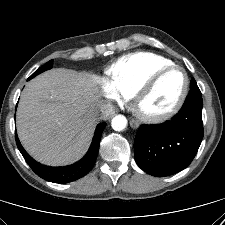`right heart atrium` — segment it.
Returning <instances> with one entry per match:
<instances>
[{
  "instance_id": "obj_1",
  "label": "right heart atrium",
  "mask_w": 225,
  "mask_h": 225,
  "mask_svg": "<svg viewBox=\"0 0 225 225\" xmlns=\"http://www.w3.org/2000/svg\"><path fill=\"white\" fill-rule=\"evenodd\" d=\"M101 93L109 100L115 102H122L123 97L121 94L110 84L106 79L100 78L98 81Z\"/></svg>"
}]
</instances>
